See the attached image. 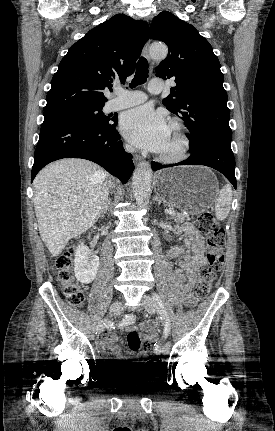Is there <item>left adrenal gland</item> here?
<instances>
[{
	"label": "left adrenal gland",
	"mask_w": 275,
	"mask_h": 431,
	"mask_svg": "<svg viewBox=\"0 0 275 431\" xmlns=\"http://www.w3.org/2000/svg\"><path fill=\"white\" fill-rule=\"evenodd\" d=\"M154 201H157L159 204L161 203V201L158 199V196L155 195V197L153 198Z\"/></svg>",
	"instance_id": "obj_1"
}]
</instances>
